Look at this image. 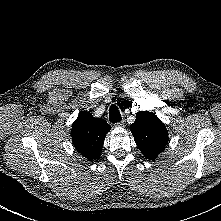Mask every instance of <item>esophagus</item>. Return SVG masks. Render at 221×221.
<instances>
[{
	"mask_svg": "<svg viewBox=\"0 0 221 221\" xmlns=\"http://www.w3.org/2000/svg\"><path fill=\"white\" fill-rule=\"evenodd\" d=\"M114 126L115 127H124L125 123H124V121H121V122L115 123Z\"/></svg>",
	"mask_w": 221,
	"mask_h": 221,
	"instance_id": "esophagus-1",
	"label": "esophagus"
}]
</instances>
